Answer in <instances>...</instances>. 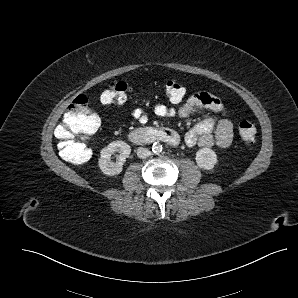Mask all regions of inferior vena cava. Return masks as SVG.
Segmentation results:
<instances>
[{"mask_svg":"<svg viewBox=\"0 0 298 298\" xmlns=\"http://www.w3.org/2000/svg\"><path fill=\"white\" fill-rule=\"evenodd\" d=\"M151 155V151L148 148L139 147L137 149V156L141 159H145Z\"/></svg>","mask_w":298,"mask_h":298,"instance_id":"obj_1","label":"inferior vena cava"}]
</instances>
